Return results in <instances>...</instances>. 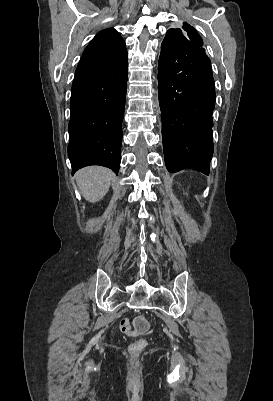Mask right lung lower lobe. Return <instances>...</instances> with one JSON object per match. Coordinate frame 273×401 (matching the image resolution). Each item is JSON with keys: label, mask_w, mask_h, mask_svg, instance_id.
Masks as SVG:
<instances>
[{"label": "right lung lower lobe", "mask_w": 273, "mask_h": 401, "mask_svg": "<svg viewBox=\"0 0 273 401\" xmlns=\"http://www.w3.org/2000/svg\"><path fill=\"white\" fill-rule=\"evenodd\" d=\"M127 75L126 58L73 82L68 125L72 173L88 165L119 171Z\"/></svg>", "instance_id": "98d812e1"}]
</instances>
